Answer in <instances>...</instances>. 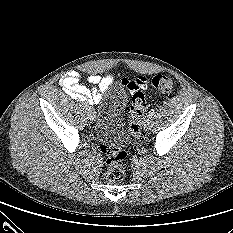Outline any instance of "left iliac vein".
Instances as JSON below:
<instances>
[{
	"mask_svg": "<svg viewBox=\"0 0 233 233\" xmlns=\"http://www.w3.org/2000/svg\"><path fill=\"white\" fill-rule=\"evenodd\" d=\"M153 126V117L149 116L146 118L145 122H144V128L146 130L151 129V127Z\"/></svg>",
	"mask_w": 233,
	"mask_h": 233,
	"instance_id": "obj_1",
	"label": "left iliac vein"
}]
</instances>
